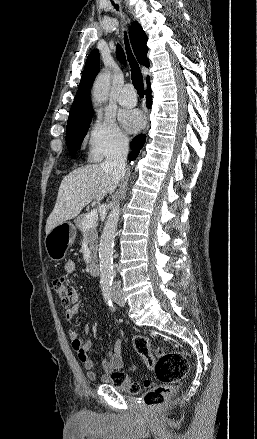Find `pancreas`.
Masks as SVG:
<instances>
[{
  "label": "pancreas",
  "mask_w": 257,
  "mask_h": 439,
  "mask_svg": "<svg viewBox=\"0 0 257 439\" xmlns=\"http://www.w3.org/2000/svg\"><path fill=\"white\" fill-rule=\"evenodd\" d=\"M87 214H81L78 216L74 222L76 224V227L82 232L85 230V236L89 243V249L92 252V256H95L97 252V239H98V232H97V226L98 223L95 222L90 228H83L82 222L86 218Z\"/></svg>",
  "instance_id": "1"
}]
</instances>
